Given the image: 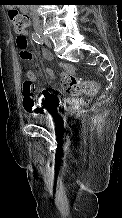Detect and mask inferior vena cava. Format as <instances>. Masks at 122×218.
Returning a JSON list of instances; mask_svg holds the SVG:
<instances>
[{"label": "inferior vena cava", "mask_w": 122, "mask_h": 218, "mask_svg": "<svg viewBox=\"0 0 122 218\" xmlns=\"http://www.w3.org/2000/svg\"><path fill=\"white\" fill-rule=\"evenodd\" d=\"M33 25H34V28L40 27V21H39V18L37 17V15L33 16Z\"/></svg>", "instance_id": "obj_1"}]
</instances>
